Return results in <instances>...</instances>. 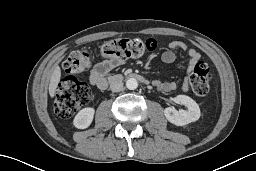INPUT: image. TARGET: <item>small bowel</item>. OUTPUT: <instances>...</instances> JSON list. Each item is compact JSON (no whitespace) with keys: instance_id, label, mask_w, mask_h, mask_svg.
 Masks as SVG:
<instances>
[{"instance_id":"obj_1","label":"small bowel","mask_w":256,"mask_h":171,"mask_svg":"<svg viewBox=\"0 0 256 171\" xmlns=\"http://www.w3.org/2000/svg\"><path fill=\"white\" fill-rule=\"evenodd\" d=\"M174 50H183L186 51L189 55V71L194 68L196 63H198L201 59L200 53L191 48L188 49L187 45L180 41L174 40L169 43V49L164 51L161 55V61L165 64L173 63L176 59V54ZM123 64V60L120 59H107L100 62H96L90 73V83L99 88L104 89L107 86L106 75L114 68ZM154 86L165 92L173 91L176 89V84L173 82H161L154 81ZM187 88V81H184L182 84V89L185 90Z\"/></svg>"}]
</instances>
